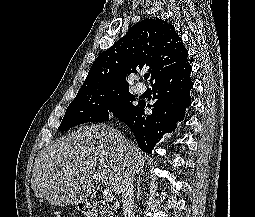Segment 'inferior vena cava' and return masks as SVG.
Returning a JSON list of instances; mask_svg holds the SVG:
<instances>
[{"instance_id": "obj_1", "label": "inferior vena cava", "mask_w": 255, "mask_h": 217, "mask_svg": "<svg viewBox=\"0 0 255 217\" xmlns=\"http://www.w3.org/2000/svg\"><path fill=\"white\" fill-rule=\"evenodd\" d=\"M134 178L131 171L126 167L123 172L122 180V204H123V215L124 217H134Z\"/></svg>"}]
</instances>
